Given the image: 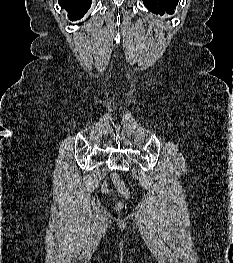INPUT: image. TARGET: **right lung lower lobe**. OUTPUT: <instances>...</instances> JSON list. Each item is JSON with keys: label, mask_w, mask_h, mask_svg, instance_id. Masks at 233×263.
Here are the masks:
<instances>
[{"label": "right lung lower lobe", "mask_w": 233, "mask_h": 263, "mask_svg": "<svg viewBox=\"0 0 233 263\" xmlns=\"http://www.w3.org/2000/svg\"><path fill=\"white\" fill-rule=\"evenodd\" d=\"M60 6L67 10L70 20L81 19L89 9L92 0H58Z\"/></svg>", "instance_id": "1"}]
</instances>
